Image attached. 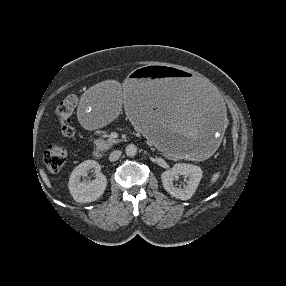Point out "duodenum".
Returning a JSON list of instances; mask_svg holds the SVG:
<instances>
[{"label": "duodenum", "mask_w": 286, "mask_h": 286, "mask_svg": "<svg viewBox=\"0 0 286 286\" xmlns=\"http://www.w3.org/2000/svg\"><path fill=\"white\" fill-rule=\"evenodd\" d=\"M93 156H94V158H96V159H101V158L103 157V152H102L100 149L96 148V149L93 151Z\"/></svg>", "instance_id": "obj_1"}]
</instances>
